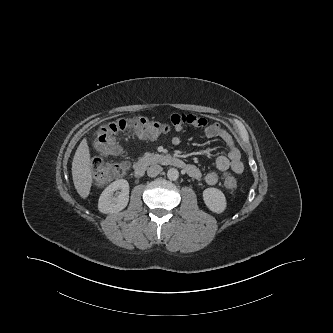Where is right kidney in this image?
Listing matches in <instances>:
<instances>
[{
  "mask_svg": "<svg viewBox=\"0 0 333 333\" xmlns=\"http://www.w3.org/2000/svg\"><path fill=\"white\" fill-rule=\"evenodd\" d=\"M129 201V183L125 179L112 182L101 193L98 210L102 213H115L123 210Z\"/></svg>",
  "mask_w": 333,
  "mask_h": 333,
  "instance_id": "obj_1",
  "label": "right kidney"
}]
</instances>
